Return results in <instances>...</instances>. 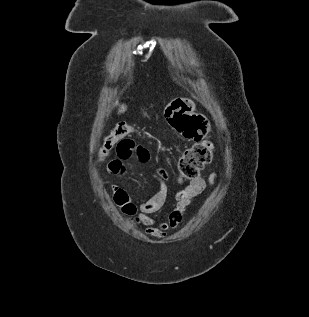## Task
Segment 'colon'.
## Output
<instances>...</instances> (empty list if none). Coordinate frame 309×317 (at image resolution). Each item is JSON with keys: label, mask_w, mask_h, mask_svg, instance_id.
Segmentation results:
<instances>
[{"label": "colon", "mask_w": 309, "mask_h": 317, "mask_svg": "<svg viewBox=\"0 0 309 317\" xmlns=\"http://www.w3.org/2000/svg\"><path fill=\"white\" fill-rule=\"evenodd\" d=\"M165 118L168 124L179 134L196 141L182 154L179 163V177L184 181H192L199 178L202 169L211 162L212 143L208 140L209 126L206 118L194 113V104L187 98H177L170 102L165 109ZM133 126L126 122H119L105 138L100 155L106 156L114 146L118 150H124L126 142L132 143L135 149L134 155H142L146 150L137 146L129 139L133 133Z\"/></svg>", "instance_id": "1"}]
</instances>
